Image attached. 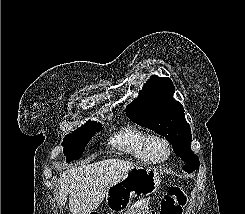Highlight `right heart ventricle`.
<instances>
[{
	"mask_svg": "<svg viewBox=\"0 0 245 214\" xmlns=\"http://www.w3.org/2000/svg\"><path fill=\"white\" fill-rule=\"evenodd\" d=\"M148 135V132L136 126L127 125L112 136L110 144L124 154L141 162L150 163L144 151V142Z\"/></svg>",
	"mask_w": 245,
	"mask_h": 214,
	"instance_id": "right-heart-ventricle-1",
	"label": "right heart ventricle"
}]
</instances>
